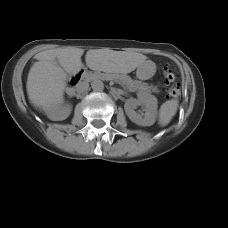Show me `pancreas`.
<instances>
[{
  "mask_svg": "<svg viewBox=\"0 0 228 228\" xmlns=\"http://www.w3.org/2000/svg\"><path fill=\"white\" fill-rule=\"evenodd\" d=\"M104 78V76H102ZM100 76L96 75H89V80L94 82L99 81ZM115 81H117L120 85H122L125 89H128L132 92H139V93H150V92H159V90L154 87L153 85H148L147 83H142L137 80H132L128 76L124 75H116L113 77Z\"/></svg>",
  "mask_w": 228,
  "mask_h": 228,
  "instance_id": "cf45deb5",
  "label": "pancreas"
}]
</instances>
